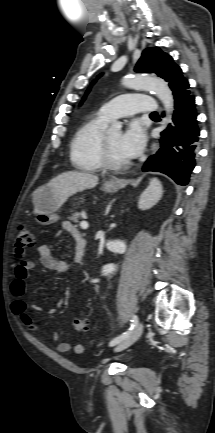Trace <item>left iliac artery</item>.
<instances>
[{
    "label": "left iliac artery",
    "mask_w": 215,
    "mask_h": 433,
    "mask_svg": "<svg viewBox=\"0 0 215 433\" xmlns=\"http://www.w3.org/2000/svg\"><path fill=\"white\" fill-rule=\"evenodd\" d=\"M131 326L129 328L128 331L124 332L123 334H121L120 336L114 338L111 342H110V346H114L118 343H120L121 341H123L124 339H126L129 334L131 333V331L136 327L137 323H138V317L136 315H133L132 320H131Z\"/></svg>",
    "instance_id": "44dca946"
}]
</instances>
